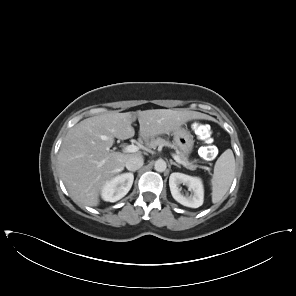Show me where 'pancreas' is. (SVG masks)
<instances>
[{"instance_id":"pancreas-1","label":"pancreas","mask_w":296,"mask_h":296,"mask_svg":"<svg viewBox=\"0 0 296 296\" xmlns=\"http://www.w3.org/2000/svg\"><path fill=\"white\" fill-rule=\"evenodd\" d=\"M146 145L150 148H155L157 146L158 147L167 146L171 148H176L174 144L160 137L147 140ZM177 156L184 162L183 166H185L187 169L194 170L196 168V165H194L192 162H189L187 156H185L182 152H178Z\"/></svg>"}]
</instances>
